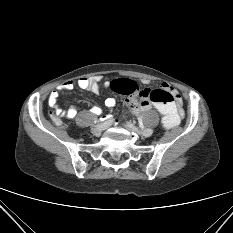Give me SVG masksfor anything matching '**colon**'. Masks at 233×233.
I'll use <instances>...</instances> for the list:
<instances>
[{
	"instance_id": "1",
	"label": "colon",
	"mask_w": 233,
	"mask_h": 233,
	"mask_svg": "<svg viewBox=\"0 0 233 233\" xmlns=\"http://www.w3.org/2000/svg\"><path fill=\"white\" fill-rule=\"evenodd\" d=\"M111 88L119 94L130 95L141 102L154 103L162 114V124L165 129L171 130L179 125L180 115L175 107L173 95L168 90L141 88L136 82L129 79L114 80Z\"/></svg>"
}]
</instances>
